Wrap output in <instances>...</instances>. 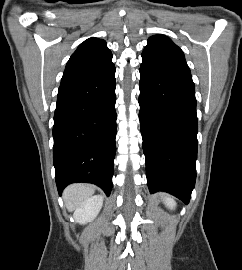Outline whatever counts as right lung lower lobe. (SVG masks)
<instances>
[{"label": "right lung lower lobe", "mask_w": 242, "mask_h": 270, "mask_svg": "<svg viewBox=\"0 0 242 270\" xmlns=\"http://www.w3.org/2000/svg\"><path fill=\"white\" fill-rule=\"evenodd\" d=\"M115 66L60 86L53 126L59 194L74 182L96 184L110 195L116 152Z\"/></svg>", "instance_id": "98d812e1"}]
</instances>
